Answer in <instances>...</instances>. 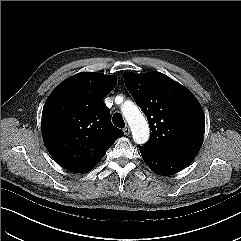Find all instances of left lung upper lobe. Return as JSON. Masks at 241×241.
<instances>
[{
  "label": "left lung upper lobe",
  "instance_id": "left-lung-upper-lobe-1",
  "mask_svg": "<svg viewBox=\"0 0 241 241\" xmlns=\"http://www.w3.org/2000/svg\"><path fill=\"white\" fill-rule=\"evenodd\" d=\"M125 86L150 126L144 147L165 157L191 162L205 129L203 110L182 85L160 72L125 73Z\"/></svg>",
  "mask_w": 241,
  "mask_h": 241
}]
</instances>
